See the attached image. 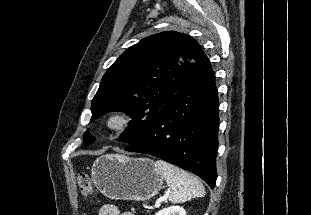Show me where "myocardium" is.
Segmentation results:
<instances>
[{"mask_svg": "<svg viewBox=\"0 0 311 215\" xmlns=\"http://www.w3.org/2000/svg\"><path fill=\"white\" fill-rule=\"evenodd\" d=\"M132 117L125 111H111L104 118V127L111 133L124 132L131 124Z\"/></svg>", "mask_w": 311, "mask_h": 215, "instance_id": "obj_1", "label": "myocardium"}]
</instances>
